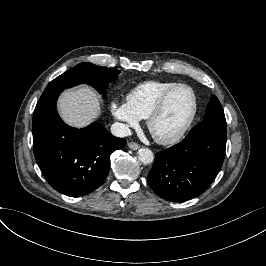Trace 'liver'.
<instances>
[{
    "label": "liver",
    "instance_id": "6515ba94",
    "mask_svg": "<svg viewBox=\"0 0 266 266\" xmlns=\"http://www.w3.org/2000/svg\"><path fill=\"white\" fill-rule=\"evenodd\" d=\"M60 112L70 125L83 127L99 114V101L88 87L67 91L59 102Z\"/></svg>",
    "mask_w": 266,
    "mask_h": 266
}]
</instances>
